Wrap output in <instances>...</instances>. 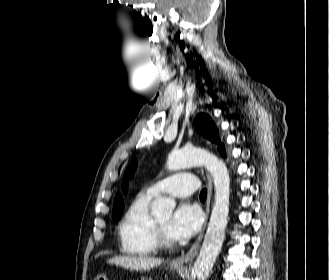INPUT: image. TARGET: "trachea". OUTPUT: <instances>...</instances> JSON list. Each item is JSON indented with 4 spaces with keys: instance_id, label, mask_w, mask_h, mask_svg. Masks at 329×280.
I'll return each mask as SVG.
<instances>
[{
    "instance_id": "1",
    "label": "trachea",
    "mask_w": 329,
    "mask_h": 280,
    "mask_svg": "<svg viewBox=\"0 0 329 280\" xmlns=\"http://www.w3.org/2000/svg\"><path fill=\"white\" fill-rule=\"evenodd\" d=\"M206 197H207V189L204 188V189H202V191H201V193H200V199H201V200H205Z\"/></svg>"
}]
</instances>
